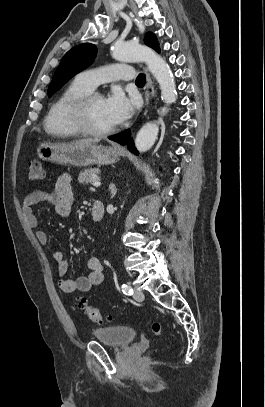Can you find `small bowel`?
<instances>
[{
	"label": "small bowel",
	"instance_id": "obj_1",
	"mask_svg": "<svg viewBox=\"0 0 265 407\" xmlns=\"http://www.w3.org/2000/svg\"><path fill=\"white\" fill-rule=\"evenodd\" d=\"M40 202H49L54 205L58 216L67 218L71 214L73 204L72 178L69 174L60 175L55 183L53 191L34 190L29 193L22 205V213L28 226L35 230V235L41 244H47L49 237L46 232L39 229V222L34 214L33 207ZM57 264V273L62 277L59 287L64 293L76 291L86 292L94 286L101 284L103 280V266L99 259L91 257L87 260L89 273L87 276L75 280L64 278L68 271V261L61 251H55L52 255Z\"/></svg>",
	"mask_w": 265,
	"mask_h": 407
}]
</instances>
